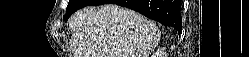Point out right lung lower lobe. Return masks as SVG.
Masks as SVG:
<instances>
[{
  "instance_id": "right-lung-lower-lobe-1",
  "label": "right lung lower lobe",
  "mask_w": 249,
  "mask_h": 57,
  "mask_svg": "<svg viewBox=\"0 0 249 57\" xmlns=\"http://www.w3.org/2000/svg\"><path fill=\"white\" fill-rule=\"evenodd\" d=\"M117 4L181 31L180 0H92L88 6Z\"/></svg>"
}]
</instances>
